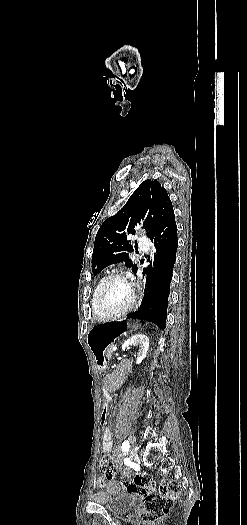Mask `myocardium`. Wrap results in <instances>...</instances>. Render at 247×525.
<instances>
[{"mask_svg":"<svg viewBox=\"0 0 247 525\" xmlns=\"http://www.w3.org/2000/svg\"><path fill=\"white\" fill-rule=\"evenodd\" d=\"M116 277L127 278V279L131 280L132 283H134V281H135L133 275L131 273L127 272V271L121 270V271L112 272V273L107 275L104 279H102L97 284V286H96V288L94 290V297L96 298V300L99 299V293H100L101 289L104 287V285L109 280H111L112 278H116ZM134 302H135V297H134V293H133V290H132L131 294H130V297L127 300L126 303L120 304V305H115V306L110 307V308L103 307L100 304H98L97 305V309L100 312H102L103 314L108 315V316L120 315V314H123V313L127 312L134 305Z\"/></svg>","mask_w":247,"mask_h":525,"instance_id":"obj_1","label":"myocardium"}]
</instances>
